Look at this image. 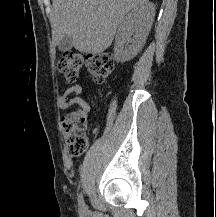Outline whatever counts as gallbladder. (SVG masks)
Returning a JSON list of instances; mask_svg holds the SVG:
<instances>
[{"instance_id": "bac80fb5", "label": "gallbladder", "mask_w": 216, "mask_h": 217, "mask_svg": "<svg viewBox=\"0 0 216 217\" xmlns=\"http://www.w3.org/2000/svg\"><path fill=\"white\" fill-rule=\"evenodd\" d=\"M73 47V40L71 35H66L58 44L60 51H69Z\"/></svg>"}]
</instances>
